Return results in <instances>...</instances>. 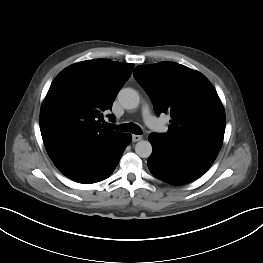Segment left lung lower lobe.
Masks as SVG:
<instances>
[{"label":"left lung lower lobe","instance_id":"0a47b994","mask_svg":"<svg viewBox=\"0 0 263 263\" xmlns=\"http://www.w3.org/2000/svg\"><path fill=\"white\" fill-rule=\"evenodd\" d=\"M150 172L163 182L182 185L202 176L216 159L221 146L190 136L152 133Z\"/></svg>","mask_w":263,"mask_h":263}]
</instances>
